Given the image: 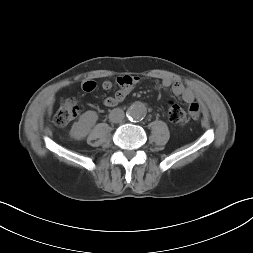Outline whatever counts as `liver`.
<instances>
[{
    "label": "liver",
    "instance_id": "6515ba94",
    "mask_svg": "<svg viewBox=\"0 0 253 253\" xmlns=\"http://www.w3.org/2000/svg\"><path fill=\"white\" fill-rule=\"evenodd\" d=\"M53 102H54V97H51L50 99H49V102H48V115L50 116L51 115V113H52V105H53Z\"/></svg>",
    "mask_w": 253,
    "mask_h": 253
}]
</instances>
